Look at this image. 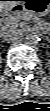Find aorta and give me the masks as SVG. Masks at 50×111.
Listing matches in <instances>:
<instances>
[{"instance_id":"aorta-1","label":"aorta","mask_w":50,"mask_h":111,"mask_svg":"<svg viewBox=\"0 0 50 111\" xmlns=\"http://www.w3.org/2000/svg\"><path fill=\"white\" fill-rule=\"evenodd\" d=\"M24 41L27 45H37L39 43V37L35 34H28L25 36Z\"/></svg>"}]
</instances>
